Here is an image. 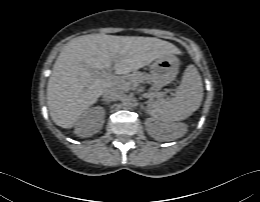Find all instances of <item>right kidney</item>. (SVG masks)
<instances>
[{
	"label": "right kidney",
	"instance_id": "ca27d5eb",
	"mask_svg": "<svg viewBox=\"0 0 260 202\" xmlns=\"http://www.w3.org/2000/svg\"><path fill=\"white\" fill-rule=\"evenodd\" d=\"M105 118V110L100 107H92L84 111L75 124V134L79 137H88L100 131Z\"/></svg>",
	"mask_w": 260,
	"mask_h": 202
}]
</instances>
